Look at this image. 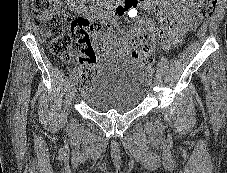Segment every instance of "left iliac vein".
Returning <instances> with one entry per match:
<instances>
[{
  "label": "left iliac vein",
  "instance_id": "1",
  "mask_svg": "<svg viewBox=\"0 0 227 173\" xmlns=\"http://www.w3.org/2000/svg\"><path fill=\"white\" fill-rule=\"evenodd\" d=\"M152 78H153L152 73L147 72V73H146V81H147V83H148L149 85L152 83Z\"/></svg>",
  "mask_w": 227,
  "mask_h": 173
}]
</instances>
